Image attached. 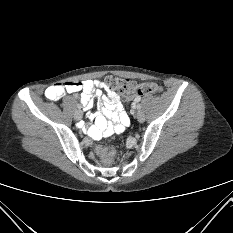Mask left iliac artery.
Returning <instances> with one entry per match:
<instances>
[{
    "label": "left iliac artery",
    "mask_w": 233,
    "mask_h": 233,
    "mask_svg": "<svg viewBox=\"0 0 233 233\" xmlns=\"http://www.w3.org/2000/svg\"><path fill=\"white\" fill-rule=\"evenodd\" d=\"M141 100V98L139 97V96H137L136 98H135V101L136 102H139ZM137 109H141V105H137Z\"/></svg>",
    "instance_id": "left-iliac-artery-1"
}]
</instances>
